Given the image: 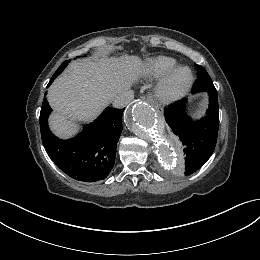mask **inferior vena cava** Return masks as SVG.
Returning a JSON list of instances; mask_svg holds the SVG:
<instances>
[{"instance_id": "602c4592", "label": "inferior vena cava", "mask_w": 260, "mask_h": 260, "mask_svg": "<svg viewBox=\"0 0 260 260\" xmlns=\"http://www.w3.org/2000/svg\"><path fill=\"white\" fill-rule=\"evenodd\" d=\"M133 99H134L133 91L126 89L116 94L112 98L111 103L113 107L124 108L125 106L130 104Z\"/></svg>"}]
</instances>
